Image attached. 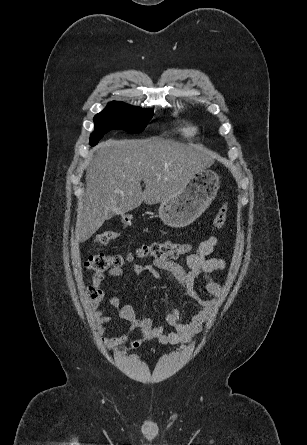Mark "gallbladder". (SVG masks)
<instances>
[{"label": "gallbladder", "instance_id": "obj_1", "mask_svg": "<svg viewBox=\"0 0 307 445\" xmlns=\"http://www.w3.org/2000/svg\"><path fill=\"white\" fill-rule=\"evenodd\" d=\"M113 216H114V213L112 211H109L108 213L105 214V219L111 220Z\"/></svg>", "mask_w": 307, "mask_h": 445}]
</instances>
